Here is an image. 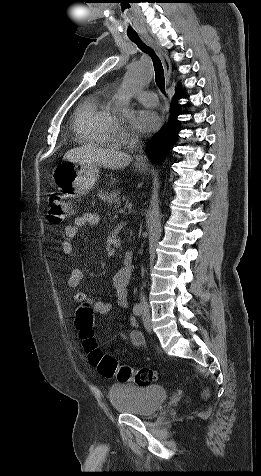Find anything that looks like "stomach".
Here are the masks:
<instances>
[{
	"instance_id": "0dacf381",
	"label": "stomach",
	"mask_w": 261,
	"mask_h": 476,
	"mask_svg": "<svg viewBox=\"0 0 261 476\" xmlns=\"http://www.w3.org/2000/svg\"><path fill=\"white\" fill-rule=\"evenodd\" d=\"M99 178V166L88 163L65 161L53 171L54 183L63 195L70 197L84 195L93 188Z\"/></svg>"
}]
</instances>
